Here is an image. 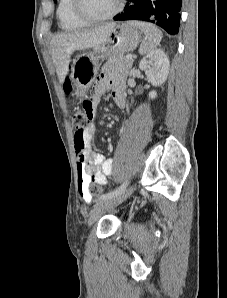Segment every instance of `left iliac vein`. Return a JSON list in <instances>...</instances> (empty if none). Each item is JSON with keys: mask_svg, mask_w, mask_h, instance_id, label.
<instances>
[{"mask_svg": "<svg viewBox=\"0 0 227 298\" xmlns=\"http://www.w3.org/2000/svg\"><path fill=\"white\" fill-rule=\"evenodd\" d=\"M132 192H133V186L129 187L128 189H126L125 191L121 192L120 194L114 197L99 200L90 213V216L88 219V225L91 226L95 221L98 220V218L103 213L109 211L110 209L122 203L132 194Z\"/></svg>", "mask_w": 227, "mask_h": 298, "instance_id": "1", "label": "left iliac vein"}]
</instances>
